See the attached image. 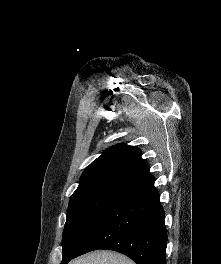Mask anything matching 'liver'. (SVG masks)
Wrapping results in <instances>:
<instances>
[{
  "label": "liver",
  "mask_w": 221,
  "mask_h": 264,
  "mask_svg": "<svg viewBox=\"0 0 221 264\" xmlns=\"http://www.w3.org/2000/svg\"><path fill=\"white\" fill-rule=\"evenodd\" d=\"M69 264H135L128 257L111 252V251H96L84 256H81Z\"/></svg>",
  "instance_id": "1"
}]
</instances>
